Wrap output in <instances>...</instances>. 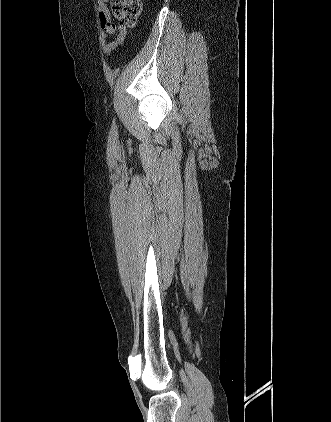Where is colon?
<instances>
[{
	"instance_id": "1",
	"label": "colon",
	"mask_w": 331,
	"mask_h": 422,
	"mask_svg": "<svg viewBox=\"0 0 331 422\" xmlns=\"http://www.w3.org/2000/svg\"><path fill=\"white\" fill-rule=\"evenodd\" d=\"M113 16L121 26L135 25L142 9L141 0H108Z\"/></svg>"
}]
</instances>
